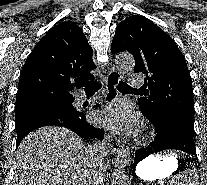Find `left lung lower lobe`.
Wrapping results in <instances>:
<instances>
[{
  "instance_id": "obj_1",
  "label": "left lung lower lobe",
  "mask_w": 207,
  "mask_h": 185,
  "mask_svg": "<svg viewBox=\"0 0 207 185\" xmlns=\"http://www.w3.org/2000/svg\"><path fill=\"white\" fill-rule=\"evenodd\" d=\"M152 124L155 127L156 137L148 147L135 152V165L150 154L168 149L181 150L196 157L193 134L184 126L172 120L165 121L161 125H156L154 122Z\"/></svg>"
}]
</instances>
